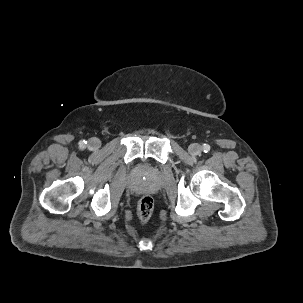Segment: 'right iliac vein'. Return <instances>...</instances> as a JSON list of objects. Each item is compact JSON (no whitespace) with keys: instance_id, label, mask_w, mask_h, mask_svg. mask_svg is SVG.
I'll return each instance as SVG.
<instances>
[{"instance_id":"1","label":"right iliac vein","mask_w":303,"mask_h":303,"mask_svg":"<svg viewBox=\"0 0 303 303\" xmlns=\"http://www.w3.org/2000/svg\"><path fill=\"white\" fill-rule=\"evenodd\" d=\"M101 143L100 140L98 138H91L88 141V147L92 150H96L100 147Z\"/></svg>"}]
</instances>
